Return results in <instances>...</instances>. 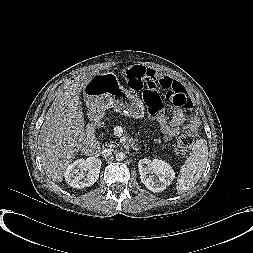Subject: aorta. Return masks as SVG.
Here are the masks:
<instances>
[{"label":"aorta","instance_id":"aorta-1","mask_svg":"<svg viewBox=\"0 0 253 253\" xmlns=\"http://www.w3.org/2000/svg\"><path fill=\"white\" fill-rule=\"evenodd\" d=\"M124 158H125V154H123L122 152H119L116 154L117 161H122Z\"/></svg>","mask_w":253,"mask_h":253}]
</instances>
